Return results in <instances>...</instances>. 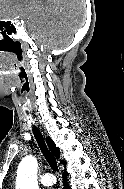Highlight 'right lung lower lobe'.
<instances>
[{"label": "right lung lower lobe", "instance_id": "1", "mask_svg": "<svg viewBox=\"0 0 124 189\" xmlns=\"http://www.w3.org/2000/svg\"><path fill=\"white\" fill-rule=\"evenodd\" d=\"M67 176L68 174L66 173V171H64L63 173L64 189H69Z\"/></svg>", "mask_w": 124, "mask_h": 189}]
</instances>
